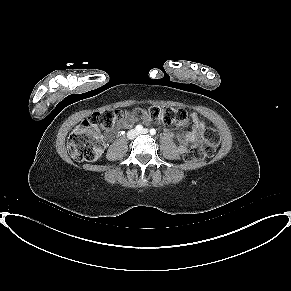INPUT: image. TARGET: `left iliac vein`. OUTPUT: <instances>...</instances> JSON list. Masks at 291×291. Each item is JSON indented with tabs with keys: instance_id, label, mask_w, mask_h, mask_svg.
Masks as SVG:
<instances>
[{
	"instance_id": "4c4485c4",
	"label": "left iliac vein",
	"mask_w": 291,
	"mask_h": 291,
	"mask_svg": "<svg viewBox=\"0 0 291 291\" xmlns=\"http://www.w3.org/2000/svg\"><path fill=\"white\" fill-rule=\"evenodd\" d=\"M149 131L148 129H143L140 132H138V134H147Z\"/></svg>"
}]
</instances>
